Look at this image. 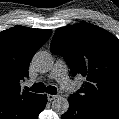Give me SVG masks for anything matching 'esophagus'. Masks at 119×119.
<instances>
[{"label":"esophagus","mask_w":119,"mask_h":119,"mask_svg":"<svg viewBox=\"0 0 119 119\" xmlns=\"http://www.w3.org/2000/svg\"><path fill=\"white\" fill-rule=\"evenodd\" d=\"M47 98H48V101H52L57 98V95L48 94Z\"/></svg>","instance_id":"esophagus-1"}]
</instances>
